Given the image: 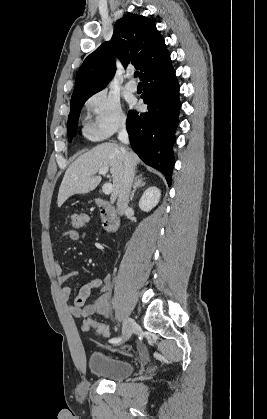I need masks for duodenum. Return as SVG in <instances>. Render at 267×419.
Here are the masks:
<instances>
[{"instance_id": "duodenum-1", "label": "duodenum", "mask_w": 267, "mask_h": 419, "mask_svg": "<svg viewBox=\"0 0 267 419\" xmlns=\"http://www.w3.org/2000/svg\"><path fill=\"white\" fill-rule=\"evenodd\" d=\"M102 217V226L106 232H113L119 226V217L116 208L103 199L95 200Z\"/></svg>"}]
</instances>
